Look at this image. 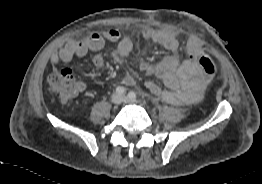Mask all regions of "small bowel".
<instances>
[{
  "label": "small bowel",
  "mask_w": 262,
  "mask_h": 184,
  "mask_svg": "<svg viewBox=\"0 0 262 184\" xmlns=\"http://www.w3.org/2000/svg\"><path fill=\"white\" fill-rule=\"evenodd\" d=\"M142 37L146 41L160 45L166 51V56L157 64L146 62L141 66L145 74L155 75L161 79L164 88L153 81H146L145 87L172 105H188L200 101L208 77L194 62L195 52H197L196 41L193 39L186 41L185 46L189 49L185 53L187 59L181 61L178 57L179 41L174 32L144 30ZM107 41L117 43L113 58L117 63L125 64L135 42L133 38L123 36L116 29L96 32L79 41H69L51 55L50 61L53 65H57L69 62L74 57H83L88 52H94L93 64L101 68L104 65V59L99 51ZM123 83L132 85L134 78L127 75L123 78Z\"/></svg>",
  "instance_id": "c3829d8e"
}]
</instances>
